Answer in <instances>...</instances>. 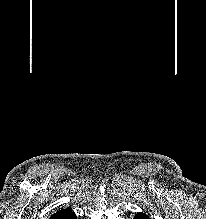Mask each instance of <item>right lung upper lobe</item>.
<instances>
[{"label": "right lung upper lobe", "instance_id": "cb5924a9", "mask_svg": "<svg viewBox=\"0 0 206 219\" xmlns=\"http://www.w3.org/2000/svg\"><path fill=\"white\" fill-rule=\"evenodd\" d=\"M49 219H76V216L70 208H65L51 215Z\"/></svg>", "mask_w": 206, "mask_h": 219}]
</instances>
